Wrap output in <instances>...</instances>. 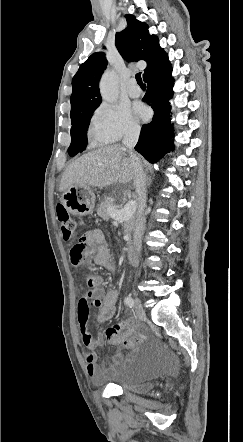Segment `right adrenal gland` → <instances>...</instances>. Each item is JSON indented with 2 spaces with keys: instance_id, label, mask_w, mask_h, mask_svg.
Here are the masks:
<instances>
[{
  "instance_id": "obj_1",
  "label": "right adrenal gland",
  "mask_w": 243,
  "mask_h": 442,
  "mask_svg": "<svg viewBox=\"0 0 243 442\" xmlns=\"http://www.w3.org/2000/svg\"><path fill=\"white\" fill-rule=\"evenodd\" d=\"M150 183H151V180L149 179V181H148V185H150Z\"/></svg>"
}]
</instances>
